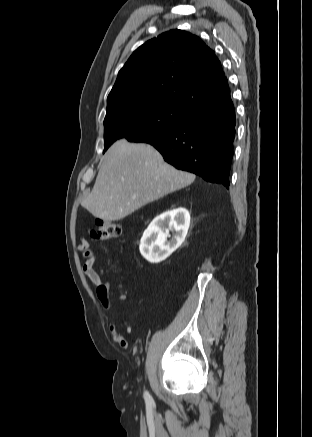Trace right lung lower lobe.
<instances>
[{
    "mask_svg": "<svg viewBox=\"0 0 312 437\" xmlns=\"http://www.w3.org/2000/svg\"><path fill=\"white\" fill-rule=\"evenodd\" d=\"M235 124L228 88L218 98L194 108L173 131L144 142L153 145L177 169L229 188Z\"/></svg>",
    "mask_w": 312,
    "mask_h": 437,
    "instance_id": "98d812e1",
    "label": "right lung lower lobe"
}]
</instances>
